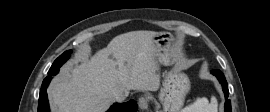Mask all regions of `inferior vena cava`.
<instances>
[{"mask_svg": "<svg viewBox=\"0 0 270 112\" xmlns=\"http://www.w3.org/2000/svg\"><path fill=\"white\" fill-rule=\"evenodd\" d=\"M114 100L116 102H123L125 100V95L123 93L114 94Z\"/></svg>", "mask_w": 270, "mask_h": 112, "instance_id": "obj_1", "label": "inferior vena cava"}]
</instances>
